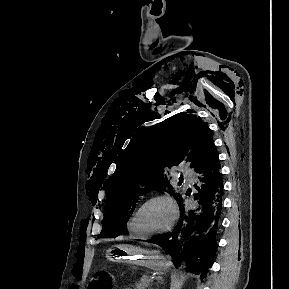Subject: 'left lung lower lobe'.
<instances>
[{"label": "left lung lower lobe", "instance_id": "1", "mask_svg": "<svg viewBox=\"0 0 289 289\" xmlns=\"http://www.w3.org/2000/svg\"><path fill=\"white\" fill-rule=\"evenodd\" d=\"M216 148L196 172L198 190L194 202L185 209L181 196L176 200L180 219L173 232L159 235L149 242L162 246L177 262L185 259L193 271L205 277L217 244L214 239L221 212L223 179ZM187 194H190L188 192Z\"/></svg>", "mask_w": 289, "mask_h": 289}]
</instances>
